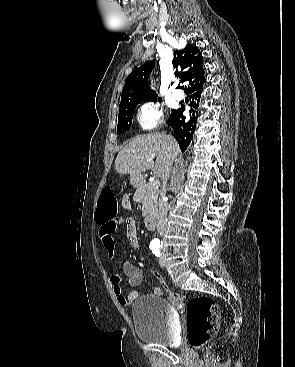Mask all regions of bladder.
Here are the masks:
<instances>
[{
  "mask_svg": "<svg viewBox=\"0 0 295 367\" xmlns=\"http://www.w3.org/2000/svg\"><path fill=\"white\" fill-rule=\"evenodd\" d=\"M132 319L138 338L144 342L171 346L177 340L173 308L162 297H139L132 308Z\"/></svg>",
  "mask_w": 295,
  "mask_h": 367,
  "instance_id": "1",
  "label": "bladder"
}]
</instances>
